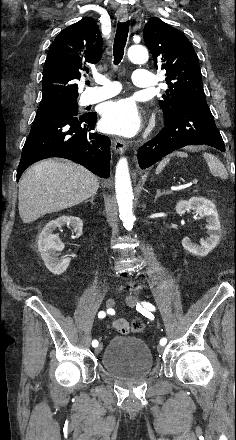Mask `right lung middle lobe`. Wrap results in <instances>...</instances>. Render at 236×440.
I'll return each instance as SVG.
<instances>
[{
  "label": "right lung middle lobe",
  "mask_w": 236,
  "mask_h": 440,
  "mask_svg": "<svg viewBox=\"0 0 236 440\" xmlns=\"http://www.w3.org/2000/svg\"><path fill=\"white\" fill-rule=\"evenodd\" d=\"M52 107H59V108H63V109H71L73 111H78V105L77 102H68V103H63V104H58Z\"/></svg>",
  "instance_id": "right-lung-middle-lobe-1"
}]
</instances>
